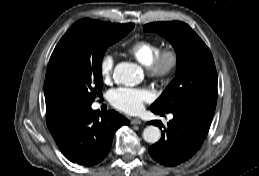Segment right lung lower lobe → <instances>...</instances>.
<instances>
[{"label": "right lung lower lobe", "mask_w": 259, "mask_h": 176, "mask_svg": "<svg viewBox=\"0 0 259 176\" xmlns=\"http://www.w3.org/2000/svg\"><path fill=\"white\" fill-rule=\"evenodd\" d=\"M47 126L64 156L73 163L92 166L108 154L113 136L130 122L115 111L104 114L90 106L68 104L47 116Z\"/></svg>", "instance_id": "98d812e1"}]
</instances>
